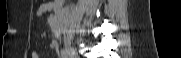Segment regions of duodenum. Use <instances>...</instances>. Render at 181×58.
<instances>
[{"instance_id":"duodenum-1","label":"duodenum","mask_w":181,"mask_h":58,"mask_svg":"<svg viewBox=\"0 0 181 58\" xmlns=\"http://www.w3.org/2000/svg\"><path fill=\"white\" fill-rule=\"evenodd\" d=\"M64 3L65 1L64 0H56L54 2V5H55V10L57 13H63L64 12Z\"/></svg>"}]
</instances>
